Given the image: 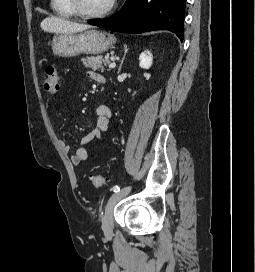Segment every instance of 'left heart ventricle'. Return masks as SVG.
Returning <instances> with one entry per match:
<instances>
[{"mask_svg": "<svg viewBox=\"0 0 255 272\" xmlns=\"http://www.w3.org/2000/svg\"><path fill=\"white\" fill-rule=\"evenodd\" d=\"M111 0H81L84 10L88 12H100L107 8Z\"/></svg>", "mask_w": 255, "mask_h": 272, "instance_id": "b2bd125f", "label": "left heart ventricle"}]
</instances>
